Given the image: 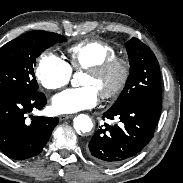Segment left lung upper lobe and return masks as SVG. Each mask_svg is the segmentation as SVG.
<instances>
[{
	"mask_svg": "<svg viewBox=\"0 0 183 183\" xmlns=\"http://www.w3.org/2000/svg\"><path fill=\"white\" fill-rule=\"evenodd\" d=\"M125 46L130 74L125 88L111 109L139 100L161 102L160 68L154 53L137 38H132Z\"/></svg>",
	"mask_w": 183,
	"mask_h": 183,
	"instance_id": "5c2ea615",
	"label": "left lung upper lobe"
}]
</instances>
